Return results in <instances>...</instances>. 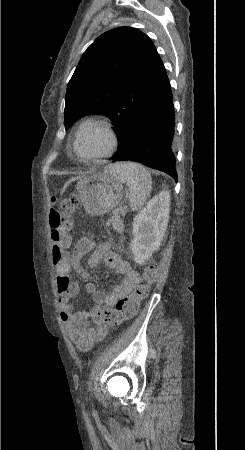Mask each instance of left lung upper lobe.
I'll return each instance as SVG.
<instances>
[{
    "label": "left lung upper lobe",
    "mask_w": 245,
    "mask_h": 450,
    "mask_svg": "<svg viewBox=\"0 0 245 450\" xmlns=\"http://www.w3.org/2000/svg\"><path fill=\"white\" fill-rule=\"evenodd\" d=\"M167 74L150 38L119 27L98 37L84 52L65 96L66 130L88 114L113 121L118 151L126 145L141 110Z\"/></svg>",
    "instance_id": "1"
}]
</instances>
